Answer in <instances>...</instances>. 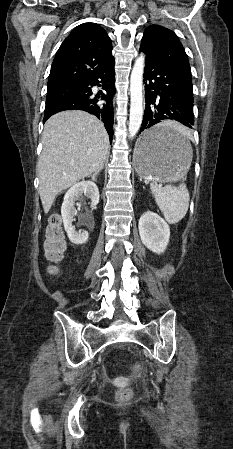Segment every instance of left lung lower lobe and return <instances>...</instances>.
<instances>
[{"label":"left lung lower lobe","instance_id":"0a47b994","mask_svg":"<svg viewBox=\"0 0 233 449\" xmlns=\"http://www.w3.org/2000/svg\"><path fill=\"white\" fill-rule=\"evenodd\" d=\"M143 78L146 105L140 133L166 119L179 121L192 128L194 125L192 82L147 56ZM181 142L182 138L176 134L146 132L141 150L147 152L177 146Z\"/></svg>","mask_w":233,"mask_h":449}]
</instances>
